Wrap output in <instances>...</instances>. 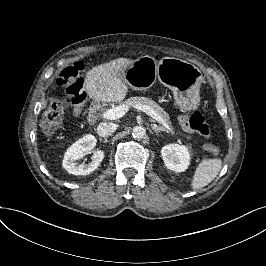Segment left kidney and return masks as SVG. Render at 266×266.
Listing matches in <instances>:
<instances>
[{"instance_id":"obj_1","label":"left kidney","mask_w":266,"mask_h":266,"mask_svg":"<svg viewBox=\"0 0 266 266\" xmlns=\"http://www.w3.org/2000/svg\"><path fill=\"white\" fill-rule=\"evenodd\" d=\"M189 149L183 146L171 144L162 148L161 154L168 169L182 172L189 164Z\"/></svg>"}]
</instances>
